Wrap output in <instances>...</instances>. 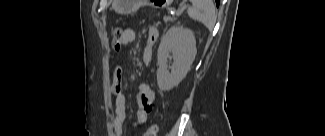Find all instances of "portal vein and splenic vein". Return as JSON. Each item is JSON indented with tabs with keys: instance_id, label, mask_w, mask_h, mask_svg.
<instances>
[{
	"instance_id": "portal-vein-and-splenic-vein-1",
	"label": "portal vein and splenic vein",
	"mask_w": 325,
	"mask_h": 136,
	"mask_svg": "<svg viewBox=\"0 0 325 136\" xmlns=\"http://www.w3.org/2000/svg\"><path fill=\"white\" fill-rule=\"evenodd\" d=\"M186 7L187 5H182V7L176 12V15H180L186 9Z\"/></svg>"
}]
</instances>
